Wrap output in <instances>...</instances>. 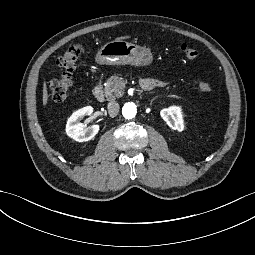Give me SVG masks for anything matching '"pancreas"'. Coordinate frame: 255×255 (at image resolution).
Listing matches in <instances>:
<instances>
[{
	"instance_id": "cf45deb5",
	"label": "pancreas",
	"mask_w": 255,
	"mask_h": 255,
	"mask_svg": "<svg viewBox=\"0 0 255 255\" xmlns=\"http://www.w3.org/2000/svg\"><path fill=\"white\" fill-rule=\"evenodd\" d=\"M121 76V74L117 73L107 79L104 95L108 99H116L124 95L126 86L124 78H120Z\"/></svg>"
}]
</instances>
